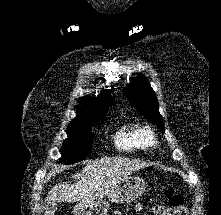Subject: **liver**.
<instances>
[{"label":"liver","mask_w":221,"mask_h":215,"mask_svg":"<svg viewBox=\"0 0 221 215\" xmlns=\"http://www.w3.org/2000/svg\"><path fill=\"white\" fill-rule=\"evenodd\" d=\"M148 164L129 158H102L89 162L73 176L74 184L54 186L46 197L47 204L57 202L94 203L114 190L121 181Z\"/></svg>","instance_id":"obj_1"}]
</instances>
